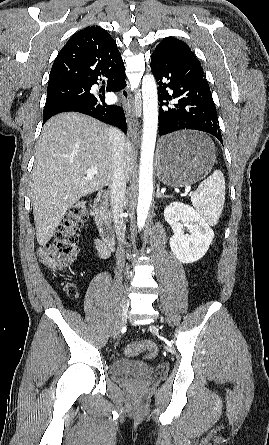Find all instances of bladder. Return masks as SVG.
<instances>
[{"label":"bladder","instance_id":"1","mask_svg":"<svg viewBox=\"0 0 269 445\" xmlns=\"http://www.w3.org/2000/svg\"><path fill=\"white\" fill-rule=\"evenodd\" d=\"M111 372L117 377L137 376L148 378L155 374L156 369L154 366L140 361L121 359L113 362Z\"/></svg>","mask_w":269,"mask_h":445}]
</instances>
